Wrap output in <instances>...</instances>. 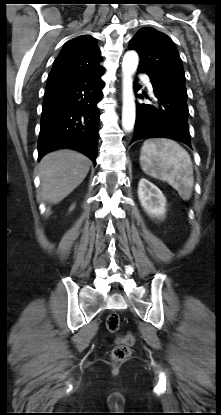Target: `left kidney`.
Here are the masks:
<instances>
[{"instance_id":"obj_1","label":"left kidney","mask_w":221,"mask_h":415,"mask_svg":"<svg viewBox=\"0 0 221 415\" xmlns=\"http://www.w3.org/2000/svg\"><path fill=\"white\" fill-rule=\"evenodd\" d=\"M138 197L141 206L151 217H163L166 212V198L161 190L145 178L139 181Z\"/></svg>"}]
</instances>
